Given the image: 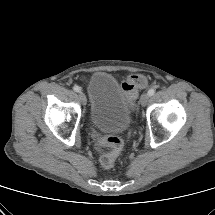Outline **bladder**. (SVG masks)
<instances>
[{
	"mask_svg": "<svg viewBox=\"0 0 215 215\" xmlns=\"http://www.w3.org/2000/svg\"><path fill=\"white\" fill-rule=\"evenodd\" d=\"M90 121L98 130L121 133L132 121L131 106L118 81L109 73H94L88 82Z\"/></svg>",
	"mask_w": 215,
	"mask_h": 215,
	"instance_id": "obj_1",
	"label": "bladder"
}]
</instances>
